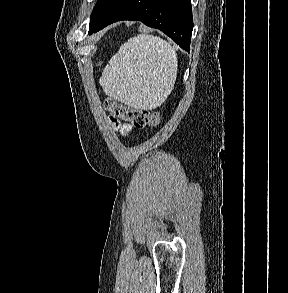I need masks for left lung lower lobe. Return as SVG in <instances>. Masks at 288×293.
I'll use <instances>...</instances> for the list:
<instances>
[{
    "instance_id": "left-lung-lower-lobe-1",
    "label": "left lung lower lobe",
    "mask_w": 288,
    "mask_h": 293,
    "mask_svg": "<svg viewBox=\"0 0 288 293\" xmlns=\"http://www.w3.org/2000/svg\"><path fill=\"white\" fill-rule=\"evenodd\" d=\"M120 20L141 21L157 28L181 48L190 51L193 30L191 0H120L92 26L89 34Z\"/></svg>"
}]
</instances>
